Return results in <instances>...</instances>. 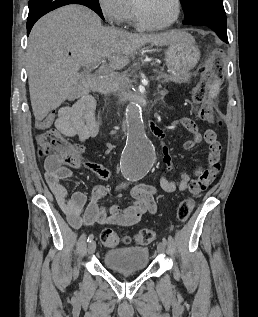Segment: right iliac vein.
<instances>
[{
    "mask_svg": "<svg viewBox=\"0 0 258 317\" xmlns=\"http://www.w3.org/2000/svg\"><path fill=\"white\" fill-rule=\"evenodd\" d=\"M96 240H91L90 242H89V244L87 245V248H88V255L90 256L91 254H94L95 253V248H96Z\"/></svg>",
    "mask_w": 258,
    "mask_h": 317,
    "instance_id": "right-iliac-vein-1",
    "label": "right iliac vein"
}]
</instances>
